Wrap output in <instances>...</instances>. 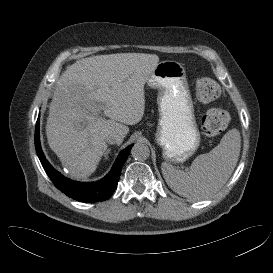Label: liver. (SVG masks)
<instances>
[{"instance_id":"obj_1","label":"liver","mask_w":273,"mask_h":273,"mask_svg":"<svg viewBox=\"0 0 273 273\" xmlns=\"http://www.w3.org/2000/svg\"><path fill=\"white\" fill-rule=\"evenodd\" d=\"M158 62L154 54L98 55L75 62L60 76L49 106L46 136L72 177L94 173L107 151L106 138L118 135L123 141L129 132L126 125L141 121L144 85ZM98 107L109 119L99 116Z\"/></svg>"}]
</instances>
